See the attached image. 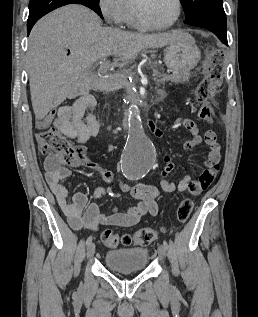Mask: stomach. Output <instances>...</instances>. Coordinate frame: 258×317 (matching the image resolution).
<instances>
[{"mask_svg":"<svg viewBox=\"0 0 258 317\" xmlns=\"http://www.w3.org/2000/svg\"><path fill=\"white\" fill-rule=\"evenodd\" d=\"M199 58L200 50L189 32H183L181 40L172 42L164 48L166 66L173 74H180L183 78L196 66Z\"/></svg>","mask_w":258,"mask_h":317,"instance_id":"stomach-1","label":"stomach"}]
</instances>
